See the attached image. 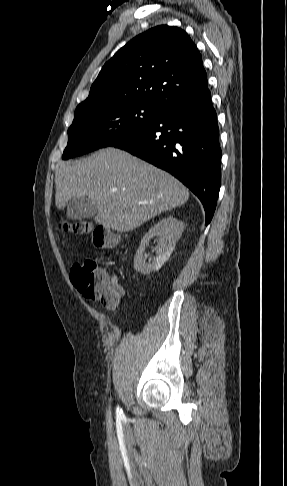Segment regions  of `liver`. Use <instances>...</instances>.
Wrapping results in <instances>:
<instances>
[{"label":"liver","mask_w":287,"mask_h":486,"mask_svg":"<svg viewBox=\"0 0 287 486\" xmlns=\"http://www.w3.org/2000/svg\"><path fill=\"white\" fill-rule=\"evenodd\" d=\"M55 185L58 209L73 197L86 196L97 206L95 222L121 233L189 199L186 187L172 175L115 148L74 163L60 162Z\"/></svg>","instance_id":"liver-1"}]
</instances>
